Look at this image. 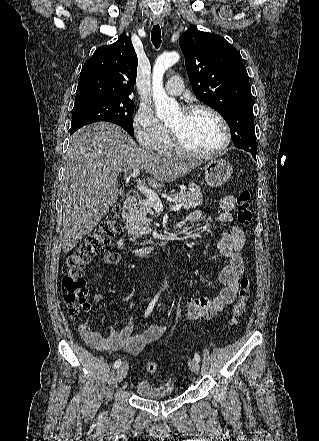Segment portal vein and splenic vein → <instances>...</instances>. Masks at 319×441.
<instances>
[{
  "mask_svg": "<svg viewBox=\"0 0 319 441\" xmlns=\"http://www.w3.org/2000/svg\"><path fill=\"white\" fill-rule=\"evenodd\" d=\"M140 174V169L139 168H135L133 169V171H131L129 173V178H136L138 175ZM137 189L146 196V198L149 199V201L153 204L155 210L157 212H161L163 210V204L161 203V200L159 199L158 195L148 189L144 184H142L141 182H137ZM182 207L181 204H177L175 206H172L170 208L171 211H178L180 210Z\"/></svg>",
  "mask_w": 319,
  "mask_h": 441,
  "instance_id": "1",
  "label": "portal vein and splenic vein"
}]
</instances>
